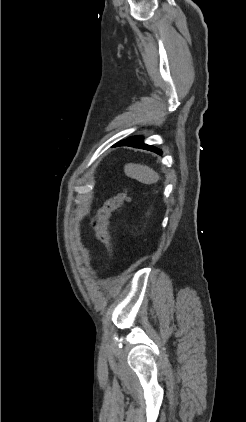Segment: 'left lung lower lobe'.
<instances>
[{"label":"left lung lower lobe","mask_w":246,"mask_h":422,"mask_svg":"<svg viewBox=\"0 0 246 422\" xmlns=\"http://www.w3.org/2000/svg\"><path fill=\"white\" fill-rule=\"evenodd\" d=\"M116 146H130L134 148L150 150L157 154H161V150H159L158 148H155L152 145L145 144L141 136H134V137H130L128 139L122 140L114 145V147Z\"/></svg>","instance_id":"1"}]
</instances>
